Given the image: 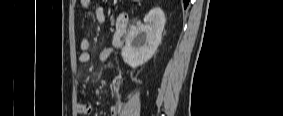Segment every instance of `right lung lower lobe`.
<instances>
[{
    "label": "right lung lower lobe",
    "instance_id": "1",
    "mask_svg": "<svg viewBox=\"0 0 283 116\" xmlns=\"http://www.w3.org/2000/svg\"><path fill=\"white\" fill-rule=\"evenodd\" d=\"M183 1H184V7L186 8L189 3V0H183Z\"/></svg>",
    "mask_w": 283,
    "mask_h": 116
}]
</instances>
